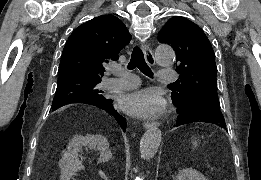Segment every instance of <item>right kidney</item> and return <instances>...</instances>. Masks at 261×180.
I'll return each instance as SVG.
<instances>
[{
    "mask_svg": "<svg viewBox=\"0 0 261 180\" xmlns=\"http://www.w3.org/2000/svg\"><path fill=\"white\" fill-rule=\"evenodd\" d=\"M82 146L95 148V150L100 154L98 162H108L111 156L109 144L106 138L101 136V134L74 136L67 146V152H65L63 158H61L59 162V168H61V180H70L76 168H78V152L81 150Z\"/></svg>",
    "mask_w": 261,
    "mask_h": 180,
    "instance_id": "obj_1",
    "label": "right kidney"
}]
</instances>
